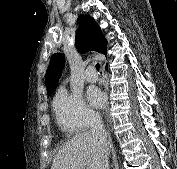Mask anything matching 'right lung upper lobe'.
<instances>
[{
  "instance_id": "obj_1",
  "label": "right lung upper lobe",
  "mask_w": 177,
  "mask_h": 169,
  "mask_svg": "<svg viewBox=\"0 0 177 169\" xmlns=\"http://www.w3.org/2000/svg\"><path fill=\"white\" fill-rule=\"evenodd\" d=\"M81 25L76 34V47L80 53L94 50L105 54L107 50V40L105 39L100 26L89 15L79 16ZM64 55L57 53L51 58L50 65L46 71L45 84L47 93L52 94L61 77V67L64 65Z\"/></svg>"
}]
</instances>
